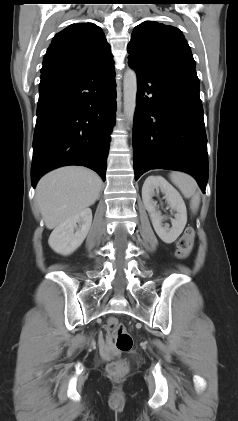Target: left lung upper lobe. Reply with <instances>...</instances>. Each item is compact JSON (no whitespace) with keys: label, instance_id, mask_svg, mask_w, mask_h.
Wrapping results in <instances>:
<instances>
[{"label":"left lung upper lobe","instance_id":"5c2ea615","mask_svg":"<svg viewBox=\"0 0 238 421\" xmlns=\"http://www.w3.org/2000/svg\"><path fill=\"white\" fill-rule=\"evenodd\" d=\"M129 61L152 72L195 68L189 45L173 26L145 21L136 26L128 44Z\"/></svg>","mask_w":238,"mask_h":421}]
</instances>
